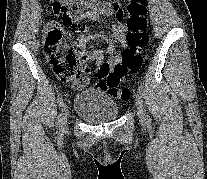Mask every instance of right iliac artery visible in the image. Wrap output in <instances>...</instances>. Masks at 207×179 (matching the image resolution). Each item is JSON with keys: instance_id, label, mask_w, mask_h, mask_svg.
Masks as SVG:
<instances>
[{"instance_id": "right-iliac-artery-1", "label": "right iliac artery", "mask_w": 207, "mask_h": 179, "mask_svg": "<svg viewBox=\"0 0 207 179\" xmlns=\"http://www.w3.org/2000/svg\"><path fill=\"white\" fill-rule=\"evenodd\" d=\"M57 102L59 104V107H61L63 105V96L62 94L60 93L57 97ZM61 115V114H60ZM60 115L58 116V123H59V120H60Z\"/></svg>"}]
</instances>
